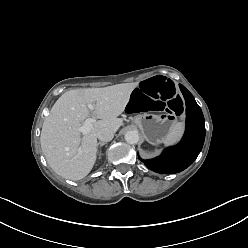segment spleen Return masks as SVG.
I'll return each mask as SVG.
<instances>
[{"label":"spleen","instance_id":"1","mask_svg":"<svg viewBox=\"0 0 248 248\" xmlns=\"http://www.w3.org/2000/svg\"><path fill=\"white\" fill-rule=\"evenodd\" d=\"M182 133H183V123L178 122L173 126V128L171 129V131L163 141V143L165 145H172L176 143L182 136Z\"/></svg>","mask_w":248,"mask_h":248}]
</instances>
